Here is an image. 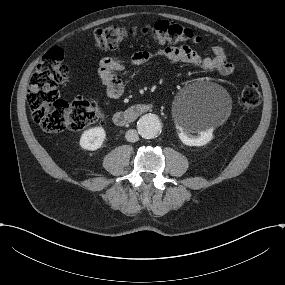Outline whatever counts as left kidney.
<instances>
[{"label":"left kidney","mask_w":285,"mask_h":285,"mask_svg":"<svg viewBox=\"0 0 285 285\" xmlns=\"http://www.w3.org/2000/svg\"><path fill=\"white\" fill-rule=\"evenodd\" d=\"M214 139L213 129L208 128L205 131H200L198 136H190L183 133L181 140L186 146L202 147L208 145Z\"/></svg>","instance_id":"obj_1"}]
</instances>
